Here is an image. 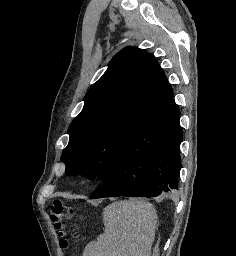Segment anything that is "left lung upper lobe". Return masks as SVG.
Returning a JSON list of instances; mask_svg holds the SVG:
<instances>
[{
  "mask_svg": "<svg viewBox=\"0 0 236 256\" xmlns=\"http://www.w3.org/2000/svg\"><path fill=\"white\" fill-rule=\"evenodd\" d=\"M173 97L156 59L131 46L117 53L88 90L69 127L61 160L68 175L105 181L137 126Z\"/></svg>",
  "mask_w": 236,
  "mask_h": 256,
  "instance_id": "left-lung-upper-lobe-1",
  "label": "left lung upper lobe"
}]
</instances>
